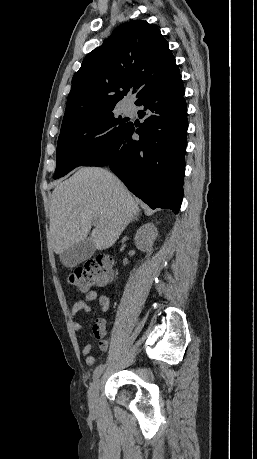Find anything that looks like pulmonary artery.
I'll return each mask as SVG.
<instances>
[{
    "label": "pulmonary artery",
    "mask_w": 257,
    "mask_h": 459,
    "mask_svg": "<svg viewBox=\"0 0 257 459\" xmlns=\"http://www.w3.org/2000/svg\"><path fill=\"white\" fill-rule=\"evenodd\" d=\"M124 111L126 114H132L134 112V108L131 104H128L124 107Z\"/></svg>",
    "instance_id": "e3ab8cb5"
}]
</instances>
